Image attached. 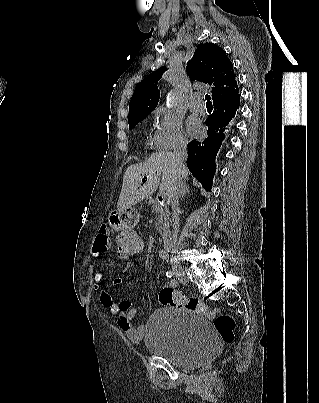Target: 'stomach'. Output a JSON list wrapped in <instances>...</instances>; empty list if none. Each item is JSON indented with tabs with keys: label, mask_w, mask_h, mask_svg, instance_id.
<instances>
[{
	"label": "stomach",
	"mask_w": 319,
	"mask_h": 403,
	"mask_svg": "<svg viewBox=\"0 0 319 403\" xmlns=\"http://www.w3.org/2000/svg\"><path fill=\"white\" fill-rule=\"evenodd\" d=\"M139 221L138 212L133 208L111 210L108 217L110 228H114L116 234H126L128 231H133V228L138 227Z\"/></svg>",
	"instance_id": "1"
}]
</instances>
